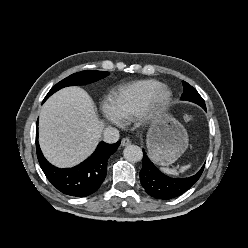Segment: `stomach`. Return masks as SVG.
<instances>
[{"mask_svg":"<svg viewBox=\"0 0 248 248\" xmlns=\"http://www.w3.org/2000/svg\"><path fill=\"white\" fill-rule=\"evenodd\" d=\"M146 141L152 160L169 166L186 151L189 139L179 121L168 114H161L152 122Z\"/></svg>","mask_w":248,"mask_h":248,"instance_id":"stomach-1","label":"stomach"}]
</instances>
